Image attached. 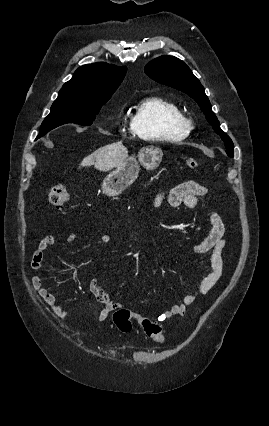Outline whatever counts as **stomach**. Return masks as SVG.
<instances>
[{"mask_svg": "<svg viewBox=\"0 0 269 426\" xmlns=\"http://www.w3.org/2000/svg\"><path fill=\"white\" fill-rule=\"evenodd\" d=\"M163 153L161 149L154 146L142 148L137 159L128 157L120 166L116 167L103 181L102 191L108 196L121 194L138 178L140 165L147 170H153L162 161Z\"/></svg>", "mask_w": 269, "mask_h": 426, "instance_id": "obj_1", "label": "stomach"}]
</instances>
